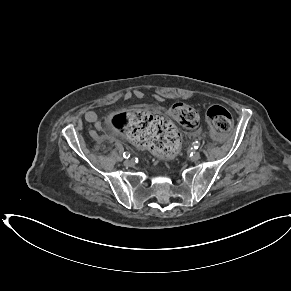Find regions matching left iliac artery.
I'll return each instance as SVG.
<instances>
[{"label": "left iliac artery", "instance_id": "obj_1", "mask_svg": "<svg viewBox=\"0 0 291 291\" xmlns=\"http://www.w3.org/2000/svg\"><path fill=\"white\" fill-rule=\"evenodd\" d=\"M199 146H200V143H199L198 141H195V142L193 143V148H194V149H198Z\"/></svg>", "mask_w": 291, "mask_h": 291}]
</instances>
